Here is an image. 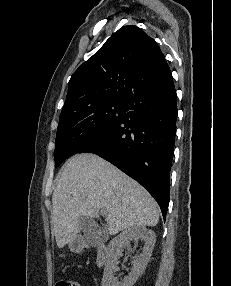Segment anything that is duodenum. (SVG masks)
Masks as SVG:
<instances>
[{
	"instance_id": "410a0bca",
	"label": "duodenum",
	"mask_w": 231,
	"mask_h": 286,
	"mask_svg": "<svg viewBox=\"0 0 231 286\" xmlns=\"http://www.w3.org/2000/svg\"><path fill=\"white\" fill-rule=\"evenodd\" d=\"M83 247H94L96 248V264L98 267L105 266L108 258V248L104 243L99 241H84Z\"/></svg>"
}]
</instances>
